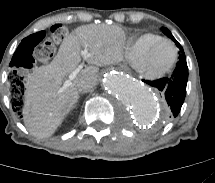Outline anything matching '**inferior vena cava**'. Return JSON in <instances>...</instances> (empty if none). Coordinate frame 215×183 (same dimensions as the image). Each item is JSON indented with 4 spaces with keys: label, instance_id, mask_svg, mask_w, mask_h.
I'll use <instances>...</instances> for the list:
<instances>
[{
    "label": "inferior vena cava",
    "instance_id": "602c4592",
    "mask_svg": "<svg viewBox=\"0 0 215 183\" xmlns=\"http://www.w3.org/2000/svg\"><path fill=\"white\" fill-rule=\"evenodd\" d=\"M96 83L91 81H82L78 84V92L79 93H88L92 91L95 87Z\"/></svg>",
    "mask_w": 215,
    "mask_h": 183
}]
</instances>
